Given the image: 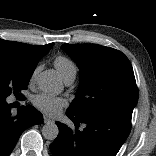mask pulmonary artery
Returning a JSON list of instances; mask_svg holds the SVG:
<instances>
[{"mask_svg":"<svg viewBox=\"0 0 156 156\" xmlns=\"http://www.w3.org/2000/svg\"><path fill=\"white\" fill-rule=\"evenodd\" d=\"M74 79H75V76L74 75H71V76L67 77L64 80V82H65L66 85H71L73 83Z\"/></svg>","mask_w":156,"mask_h":156,"instance_id":"pulmonary-artery-1","label":"pulmonary artery"}]
</instances>
